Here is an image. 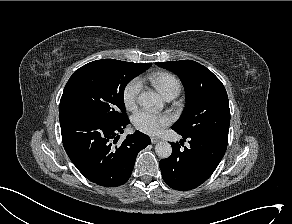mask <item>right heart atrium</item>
Returning a JSON list of instances; mask_svg holds the SVG:
<instances>
[{
  "label": "right heart atrium",
  "instance_id": "obj_1",
  "mask_svg": "<svg viewBox=\"0 0 292 224\" xmlns=\"http://www.w3.org/2000/svg\"><path fill=\"white\" fill-rule=\"evenodd\" d=\"M140 89L141 83L137 79L131 80L124 87L122 97L124 105L127 109L132 110L135 108L138 101Z\"/></svg>",
  "mask_w": 292,
  "mask_h": 224
}]
</instances>
